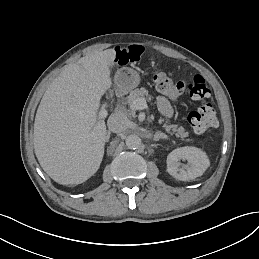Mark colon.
I'll return each instance as SVG.
<instances>
[{"label":"colon","mask_w":259,"mask_h":259,"mask_svg":"<svg viewBox=\"0 0 259 259\" xmlns=\"http://www.w3.org/2000/svg\"><path fill=\"white\" fill-rule=\"evenodd\" d=\"M153 79L157 90L168 98L176 100L187 91L196 102V110L188 114V122L194 133L202 134L218 125L211 91L201 75H196L185 83L175 80L169 73L156 71Z\"/></svg>","instance_id":"1"}]
</instances>
